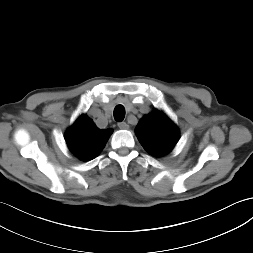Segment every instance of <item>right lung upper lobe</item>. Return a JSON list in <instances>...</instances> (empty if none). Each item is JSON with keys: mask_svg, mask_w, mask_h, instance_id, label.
Returning a JSON list of instances; mask_svg holds the SVG:
<instances>
[{"mask_svg": "<svg viewBox=\"0 0 253 253\" xmlns=\"http://www.w3.org/2000/svg\"><path fill=\"white\" fill-rule=\"evenodd\" d=\"M112 129L100 130L86 115H81L66 131L65 140L69 149L81 160L95 158L104 148Z\"/></svg>", "mask_w": 253, "mask_h": 253, "instance_id": "right-lung-upper-lobe-1", "label": "right lung upper lobe"}]
</instances>
